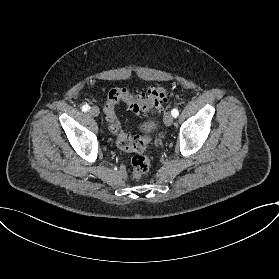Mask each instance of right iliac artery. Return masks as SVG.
I'll list each match as a JSON object with an SVG mask.
<instances>
[{"instance_id": "right-iliac-artery-1", "label": "right iliac artery", "mask_w": 279, "mask_h": 279, "mask_svg": "<svg viewBox=\"0 0 279 279\" xmlns=\"http://www.w3.org/2000/svg\"><path fill=\"white\" fill-rule=\"evenodd\" d=\"M90 107L85 104L83 107H82V111L86 112V111H89Z\"/></svg>"}]
</instances>
